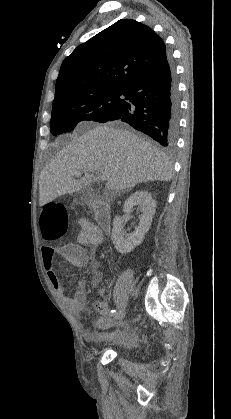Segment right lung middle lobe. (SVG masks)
<instances>
[{
    "label": "right lung middle lobe",
    "instance_id": "right-lung-middle-lobe-1",
    "mask_svg": "<svg viewBox=\"0 0 231 419\" xmlns=\"http://www.w3.org/2000/svg\"><path fill=\"white\" fill-rule=\"evenodd\" d=\"M121 95L124 90L103 89L53 103L51 133L56 136L70 132L84 120L105 121L123 103Z\"/></svg>",
    "mask_w": 231,
    "mask_h": 419
}]
</instances>
